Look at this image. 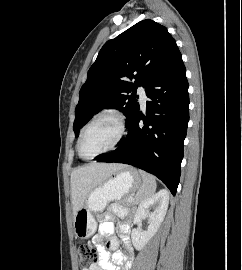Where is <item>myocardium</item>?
Returning a JSON list of instances; mask_svg holds the SVG:
<instances>
[{
    "label": "myocardium",
    "instance_id": "f54148a6",
    "mask_svg": "<svg viewBox=\"0 0 242 270\" xmlns=\"http://www.w3.org/2000/svg\"><path fill=\"white\" fill-rule=\"evenodd\" d=\"M105 118H110V119H113L117 122L118 127H119V133H118L116 140L108 148L104 149L103 151H101L93 156H89V157L84 156L82 154V151H81V142H82V139H83L85 132L94 123H96L97 121H99L101 119H105ZM126 130H127L126 120H125V117L121 113L116 112V111H104V112L99 113L82 129V131L79 135L78 141H77L78 155L84 160H91V159H94L100 155L106 154V153L114 150L124 139L125 134H126Z\"/></svg>",
    "mask_w": 242,
    "mask_h": 270
}]
</instances>
